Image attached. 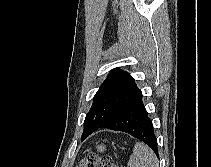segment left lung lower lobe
<instances>
[{"label":"left lung lower lobe","mask_w":211,"mask_h":167,"mask_svg":"<svg viewBox=\"0 0 211 167\" xmlns=\"http://www.w3.org/2000/svg\"><path fill=\"white\" fill-rule=\"evenodd\" d=\"M107 128L126 132L146 143L158 156L157 139L154 134L152 121L142 102V93L126 105L110 122L88 132L84 140L99 128Z\"/></svg>","instance_id":"left-lung-lower-lobe-1"}]
</instances>
